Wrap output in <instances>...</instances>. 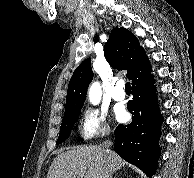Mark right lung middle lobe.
<instances>
[{
  "instance_id": "obj_1",
  "label": "right lung middle lobe",
  "mask_w": 194,
  "mask_h": 178,
  "mask_svg": "<svg viewBox=\"0 0 194 178\" xmlns=\"http://www.w3.org/2000/svg\"><path fill=\"white\" fill-rule=\"evenodd\" d=\"M80 111H81V108L64 114L61 128H60L59 137H58L56 144L62 143L65 139L69 137L71 133V129L73 128V125L75 121L77 120L78 115L80 114Z\"/></svg>"
}]
</instances>
